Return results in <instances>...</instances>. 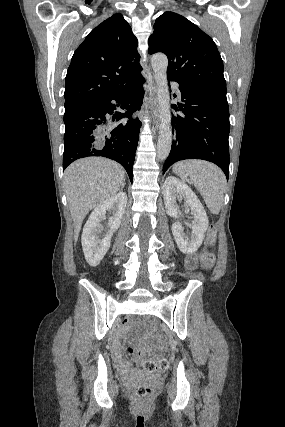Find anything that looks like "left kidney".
I'll return each instance as SVG.
<instances>
[{
  "label": "left kidney",
  "instance_id": "1",
  "mask_svg": "<svg viewBox=\"0 0 285 427\" xmlns=\"http://www.w3.org/2000/svg\"><path fill=\"white\" fill-rule=\"evenodd\" d=\"M163 195L166 213L169 216L179 217L177 200L184 199L186 206L191 210L194 218L191 234H184V229L180 222H175L171 230L181 252L185 254L196 252L201 246L208 228V217L200 200L191 188L173 176L166 178L163 184Z\"/></svg>",
  "mask_w": 285,
  "mask_h": 427
}]
</instances>
